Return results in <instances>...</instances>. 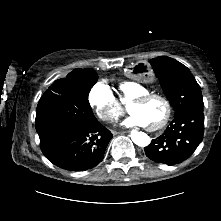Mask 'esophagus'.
<instances>
[{"mask_svg": "<svg viewBox=\"0 0 221 221\" xmlns=\"http://www.w3.org/2000/svg\"><path fill=\"white\" fill-rule=\"evenodd\" d=\"M132 133V130L129 131H113V134H130Z\"/></svg>", "mask_w": 221, "mask_h": 221, "instance_id": "esophagus-1", "label": "esophagus"}]
</instances>
